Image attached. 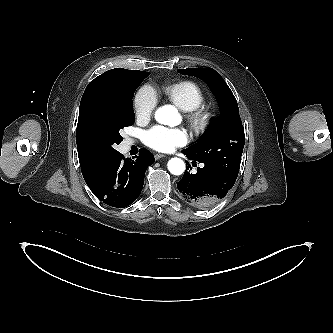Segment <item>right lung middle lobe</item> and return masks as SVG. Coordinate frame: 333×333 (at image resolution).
<instances>
[{
    "mask_svg": "<svg viewBox=\"0 0 333 333\" xmlns=\"http://www.w3.org/2000/svg\"><path fill=\"white\" fill-rule=\"evenodd\" d=\"M149 74L137 71L97 100L87 127L86 141L90 151L98 158L111 160L118 154L114 146L123 140L120 130L135 122L132 101L134 92Z\"/></svg>",
    "mask_w": 333,
    "mask_h": 333,
    "instance_id": "dd1d6c3e",
    "label": "right lung middle lobe"
}]
</instances>
